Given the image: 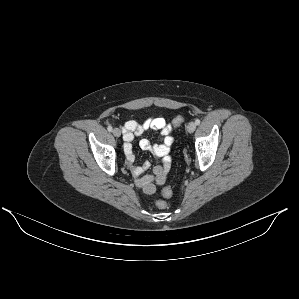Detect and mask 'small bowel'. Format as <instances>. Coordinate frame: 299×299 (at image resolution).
<instances>
[{
    "instance_id": "c3829d8e",
    "label": "small bowel",
    "mask_w": 299,
    "mask_h": 299,
    "mask_svg": "<svg viewBox=\"0 0 299 299\" xmlns=\"http://www.w3.org/2000/svg\"><path fill=\"white\" fill-rule=\"evenodd\" d=\"M148 130L158 131L161 135V142L159 144H152L148 139H141L139 146L142 150L156 156L160 160V164L153 168L152 174L142 175L150 168V163L145 161L141 166L135 165L132 141L135 137L142 135ZM172 132V125L161 117H151L144 122L132 120L125 124L123 138L125 141L124 152L127 165L134 176L136 185L142 188L146 194H153L157 186L163 185L169 175L172 164L170 150L174 143Z\"/></svg>"
}]
</instances>
